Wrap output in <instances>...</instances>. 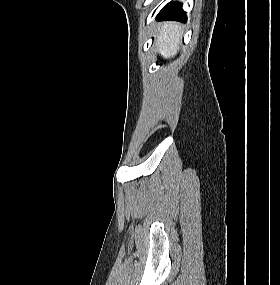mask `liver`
Wrapping results in <instances>:
<instances>
[{
    "mask_svg": "<svg viewBox=\"0 0 280 285\" xmlns=\"http://www.w3.org/2000/svg\"><path fill=\"white\" fill-rule=\"evenodd\" d=\"M181 32L178 23H162L158 27L155 41L157 51L165 59L176 55L180 47Z\"/></svg>",
    "mask_w": 280,
    "mask_h": 285,
    "instance_id": "liver-1",
    "label": "liver"
}]
</instances>
